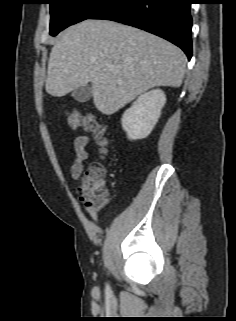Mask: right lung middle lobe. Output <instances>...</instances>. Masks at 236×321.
I'll return each mask as SVG.
<instances>
[{"instance_id":"1","label":"right lung middle lobe","mask_w":236,"mask_h":321,"mask_svg":"<svg viewBox=\"0 0 236 321\" xmlns=\"http://www.w3.org/2000/svg\"><path fill=\"white\" fill-rule=\"evenodd\" d=\"M110 0H49L51 23L50 35L88 19L100 11Z\"/></svg>"}]
</instances>
